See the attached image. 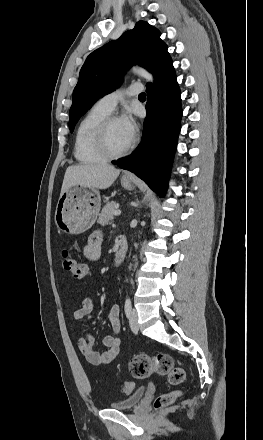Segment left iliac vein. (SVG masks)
Listing matches in <instances>:
<instances>
[{"instance_id": "obj_1", "label": "left iliac vein", "mask_w": 263, "mask_h": 440, "mask_svg": "<svg viewBox=\"0 0 263 440\" xmlns=\"http://www.w3.org/2000/svg\"><path fill=\"white\" fill-rule=\"evenodd\" d=\"M129 325L131 330L136 333L139 330V324H138V314L136 310H132L131 314L129 316Z\"/></svg>"}]
</instances>
